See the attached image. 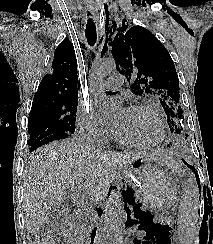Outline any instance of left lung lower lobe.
<instances>
[{
    "label": "left lung lower lobe",
    "instance_id": "obj_1",
    "mask_svg": "<svg viewBox=\"0 0 213 244\" xmlns=\"http://www.w3.org/2000/svg\"><path fill=\"white\" fill-rule=\"evenodd\" d=\"M183 162L194 172V174H195V176H196V180H197V183H198V187H199V191H200V182H199V178H198V174H197V172L195 171V169L191 166V165H189L186 161H184L183 160ZM122 195H123V199H124V203L127 201V195H126V193L124 192V193H122ZM129 203V202H128ZM127 207V206H126ZM124 209L126 210V208H125V205H124Z\"/></svg>",
    "mask_w": 213,
    "mask_h": 244
}]
</instances>
